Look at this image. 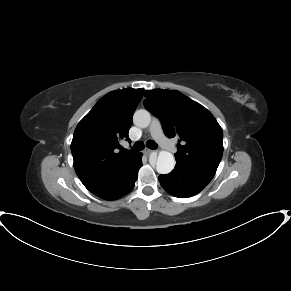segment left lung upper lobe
Segmentation results:
<instances>
[{"label": "left lung upper lobe", "instance_id": "1", "mask_svg": "<svg viewBox=\"0 0 291 291\" xmlns=\"http://www.w3.org/2000/svg\"><path fill=\"white\" fill-rule=\"evenodd\" d=\"M144 105L159 117L165 134L178 136L176 164L215 173L223 155V131L202 105L176 90L145 91Z\"/></svg>", "mask_w": 291, "mask_h": 291}]
</instances>
